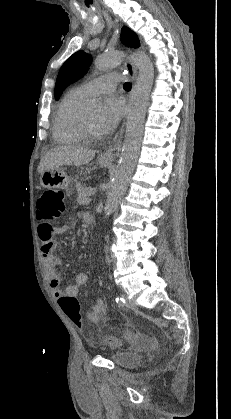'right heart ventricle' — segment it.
<instances>
[{
    "label": "right heart ventricle",
    "mask_w": 231,
    "mask_h": 419,
    "mask_svg": "<svg viewBox=\"0 0 231 419\" xmlns=\"http://www.w3.org/2000/svg\"><path fill=\"white\" fill-rule=\"evenodd\" d=\"M88 96L79 89L71 90L60 102L53 121V137L59 143L80 144L84 141L78 119L84 111Z\"/></svg>",
    "instance_id": "obj_1"
}]
</instances>
